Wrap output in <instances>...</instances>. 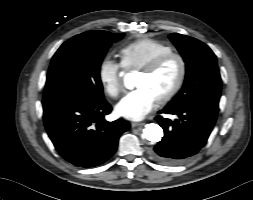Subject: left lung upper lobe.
Segmentation results:
<instances>
[{
	"label": "left lung upper lobe",
	"instance_id": "1",
	"mask_svg": "<svg viewBox=\"0 0 253 200\" xmlns=\"http://www.w3.org/2000/svg\"><path fill=\"white\" fill-rule=\"evenodd\" d=\"M186 64L185 83L167 105L183 107L199 101L219 102L221 77L212 50L201 41L178 33L169 35Z\"/></svg>",
	"mask_w": 253,
	"mask_h": 200
}]
</instances>
